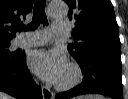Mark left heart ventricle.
I'll return each instance as SVG.
<instances>
[{
  "mask_svg": "<svg viewBox=\"0 0 128 99\" xmlns=\"http://www.w3.org/2000/svg\"><path fill=\"white\" fill-rule=\"evenodd\" d=\"M71 77H72V73L70 69L67 67L59 82L62 83L68 82L71 79Z\"/></svg>",
  "mask_w": 128,
  "mask_h": 99,
  "instance_id": "left-heart-ventricle-1",
  "label": "left heart ventricle"
}]
</instances>
